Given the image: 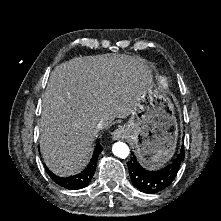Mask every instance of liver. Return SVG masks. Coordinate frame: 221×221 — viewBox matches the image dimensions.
Wrapping results in <instances>:
<instances>
[{
    "instance_id": "6515ba94",
    "label": "liver",
    "mask_w": 221,
    "mask_h": 221,
    "mask_svg": "<svg viewBox=\"0 0 221 221\" xmlns=\"http://www.w3.org/2000/svg\"><path fill=\"white\" fill-rule=\"evenodd\" d=\"M146 61L126 54L73 58L51 72L43 95L40 150L56 175L80 172L89 162L97 123L127 118L148 81Z\"/></svg>"
}]
</instances>
